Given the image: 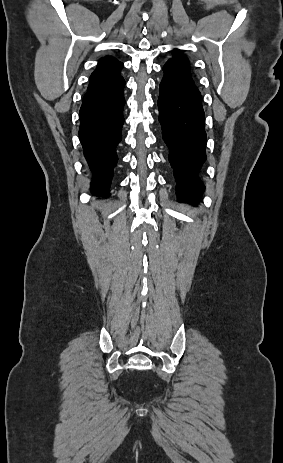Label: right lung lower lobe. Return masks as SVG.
Masks as SVG:
<instances>
[{
	"label": "right lung lower lobe",
	"instance_id": "1",
	"mask_svg": "<svg viewBox=\"0 0 283 463\" xmlns=\"http://www.w3.org/2000/svg\"><path fill=\"white\" fill-rule=\"evenodd\" d=\"M123 77L90 88L80 109L79 137L93 173L92 193L106 197L117 163L116 146L121 141L125 99Z\"/></svg>",
	"mask_w": 283,
	"mask_h": 463
}]
</instances>
